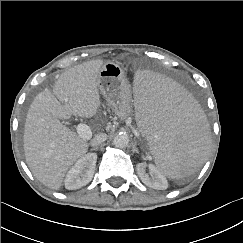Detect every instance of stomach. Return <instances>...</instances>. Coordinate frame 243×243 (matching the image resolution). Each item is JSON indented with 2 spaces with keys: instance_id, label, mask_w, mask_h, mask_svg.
Listing matches in <instances>:
<instances>
[{
  "instance_id": "obj_1",
  "label": "stomach",
  "mask_w": 243,
  "mask_h": 243,
  "mask_svg": "<svg viewBox=\"0 0 243 243\" xmlns=\"http://www.w3.org/2000/svg\"><path fill=\"white\" fill-rule=\"evenodd\" d=\"M99 89L118 117L125 119L131 114V87L118 64L107 62L103 65L99 72Z\"/></svg>"
}]
</instances>
